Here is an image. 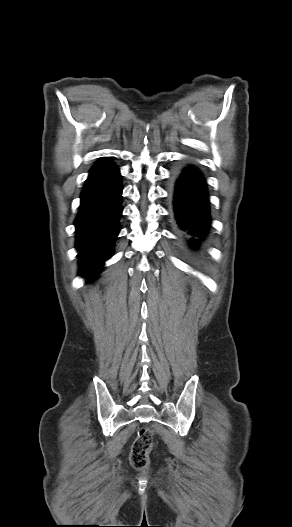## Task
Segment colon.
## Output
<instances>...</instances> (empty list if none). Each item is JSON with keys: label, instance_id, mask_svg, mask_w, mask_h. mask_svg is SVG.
<instances>
[{"label": "colon", "instance_id": "5ec220e1", "mask_svg": "<svg viewBox=\"0 0 292 527\" xmlns=\"http://www.w3.org/2000/svg\"><path fill=\"white\" fill-rule=\"evenodd\" d=\"M155 443L154 431L150 427L140 429L136 440L134 441L130 461L131 464L139 470L146 469L149 464V453Z\"/></svg>", "mask_w": 292, "mask_h": 527}]
</instances>
